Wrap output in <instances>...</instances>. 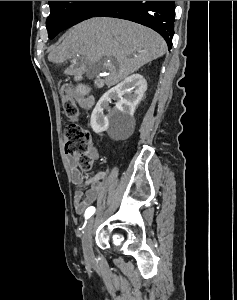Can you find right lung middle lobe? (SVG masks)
Instances as JSON below:
<instances>
[{
  "label": "right lung middle lobe",
  "mask_w": 237,
  "mask_h": 300,
  "mask_svg": "<svg viewBox=\"0 0 237 300\" xmlns=\"http://www.w3.org/2000/svg\"><path fill=\"white\" fill-rule=\"evenodd\" d=\"M105 1H49L50 15L46 20L49 38L94 16Z\"/></svg>",
  "instance_id": "right-lung-middle-lobe-1"
}]
</instances>
